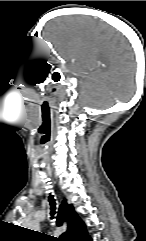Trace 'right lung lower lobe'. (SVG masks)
<instances>
[{"label":"right lung lower lobe","instance_id":"obj_1","mask_svg":"<svg viewBox=\"0 0 146 241\" xmlns=\"http://www.w3.org/2000/svg\"><path fill=\"white\" fill-rule=\"evenodd\" d=\"M86 241H92V239H91L90 237H88V238L86 239Z\"/></svg>","mask_w":146,"mask_h":241}]
</instances>
